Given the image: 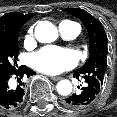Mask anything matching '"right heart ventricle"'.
Listing matches in <instances>:
<instances>
[{"mask_svg": "<svg viewBox=\"0 0 117 117\" xmlns=\"http://www.w3.org/2000/svg\"><path fill=\"white\" fill-rule=\"evenodd\" d=\"M62 23H68V24L78 25V24H76L74 22H71V21H63Z\"/></svg>", "mask_w": 117, "mask_h": 117, "instance_id": "1", "label": "right heart ventricle"}]
</instances>
